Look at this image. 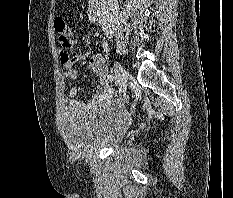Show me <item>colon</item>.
<instances>
[{"mask_svg":"<svg viewBox=\"0 0 233 198\" xmlns=\"http://www.w3.org/2000/svg\"><path fill=\"white\" fill-rule=\"evenodd\" d=\"M54 27L55 31L58 34L59 42L66 46H70L73 41V33L72 30L67 26L65 21L62 18L57 17L54 21Z\"/></svg>","mask_w":233,"mask_h":198,"instance_id":"obj_1","label":"colon"}]
</instances>
